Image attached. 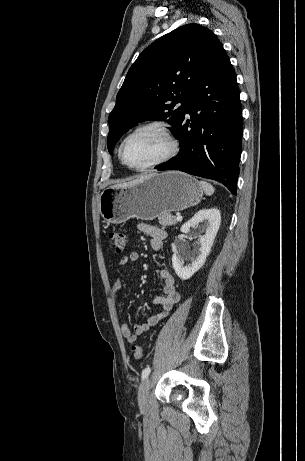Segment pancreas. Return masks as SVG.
Segmentation results:
<instances>
[{"label":"pancreas","mask_w":305,"mask_h":461,"mask_svg":"<svg viewBox=\"0 0 305 461\" xmlns=\"http://www.w3.org/2000/svg\"><path fill=\"white\" fill-rule=\"evenodd\" d=\"M177 223L176 217L170 213H163L159 217V224L162 226H172Z\"/></svg>","instance_id":"cf45deb5"}]
</instances>
